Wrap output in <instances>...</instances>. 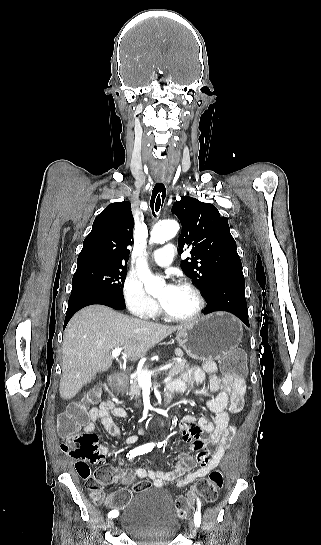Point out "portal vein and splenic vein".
I'll list each match as a JSON object with an SVG mask.
<instances>
[{
	"label": "portal vein and splenic vein",
	"instance_id": "portal-vein-and-splenic-vein-1",
	"mask_svg": "<svg viewBox=\"0 0 321 545\" xmlns=\"http://www.w3.org/2000/svg\"><path fill=\"white\" fill-rule=\"evenodd\" d=\"M122 349H113L112 351V357L114 359H117L121 353ZM174 366V363H167V365H161V368H158V370H147L143 369L139 375H137V381L138 385H141V387H147V385H151V375L157 376V373H160V371L169 370V368H172Z\"/></svg>",
	"mask_w": 321,
	"mask_h": 545
}]
</instances>
